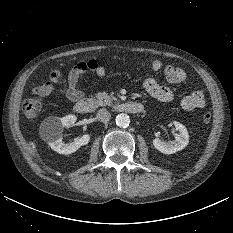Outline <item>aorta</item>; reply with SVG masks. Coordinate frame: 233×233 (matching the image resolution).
<instances>
[{"mask_svg":"<svg viewBox=\"0 0 233 233\" xmlns=\"http://www.w3.org/2000/svg\"><path fill=\"white\" fill-rule=\"evenodd\" d=\"M116 124L117 126L121 128H126L130 124V118L129 115L125 113H120L116 116Z\"/></svg>","mask_w":233,"mask_h":233,"instance_id":"1","label":"aorta"}]
</instances>
